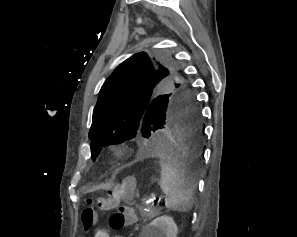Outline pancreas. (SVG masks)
I'll list each match as a JSON object with an SVG mask.
<instances>
[{"instance_id":"1","label":"pancreas","mask_w":297,"mask_h":237,"mask_svg":"<svg viewBox=\"0 0 297 237\" xmlns=\"http://www.w3.org/2000/svg\"><path fill=\"white\" fill-rule=\"evenodd\" d=\"M158 214H159V210H157L154 207H151L149 211L143 212L142 213V216H144L147 219H152V218H154Z\"/></svg>"}]
</instances>
